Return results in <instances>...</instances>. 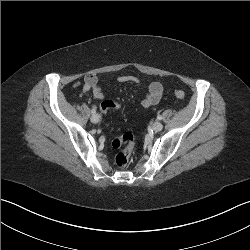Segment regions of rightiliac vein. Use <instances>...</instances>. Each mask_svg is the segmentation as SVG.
<instances>
[{
	"mask_svg": "<svg viewBox=\"0 0 250 250\" xmlns=\"http://www.w3.org/2000/svg\"><path fill=\"white\" fill-rule=\"evenodd\" d=\"M99 120H100V116H99L98 114H93V115L91 116V122H92V123H98Z\"/></svg>",
	"mask_w": 250,
	"mask_h": 250,
	"instance_id": "obj_1",
	"label": "right iliac vein"
}]
</instances>
